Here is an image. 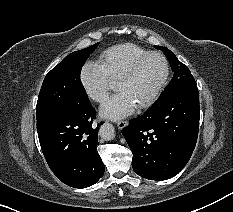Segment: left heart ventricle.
<instances>
[{
    "label": "left heart ventricle",
    "instance_id": "obj_1",
    "mask_svg": "<svg viewBox=\"0 0 233 212\" xmlns=\"http://www.w3.org/2000/svg\"><path fill=\"white\" fill-rule=\"evenodd\" d=\"M163 75V61L158 57H151L140 65L129 80L116 83L115 88L118 92L127 94L137 107L151 96Z\"/></svg>",
    "mask_w": 233,
    "mask_h": 212
}]
</instances>
